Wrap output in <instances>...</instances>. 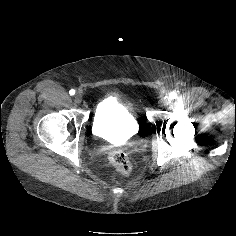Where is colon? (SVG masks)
<instances>
[{"label":"colon","instance_id":"colon-1","mask_svg":"<svg viewBox=\"0 0 236 236\" xmlns=\"http://www.w3.org/2000/svg\"><path fill=\"white\" fill-rule=\"evenodd\" d=\"M109 161L111 164L124 176H128L131 173L132 166L128 156L119 149L112 150L109 153Z\"/></svg>","mask_w":236,"mask_h":236}]
</instances>
